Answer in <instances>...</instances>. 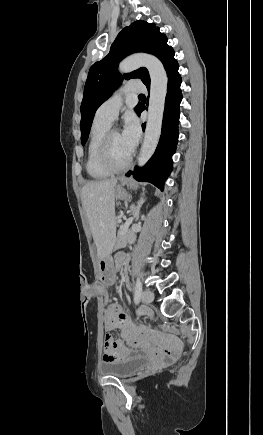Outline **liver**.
<instances>
[{
	"label": "liver",
	"instance_id": "6515ba94",
	"mask_svg": "<svg viewBox=\"0 0 263 435\" xmlns=\"http://www.w3.org/2000/svg\"><path fill=\"white\" fill-rule=\"evenodd\" d=\"M117 178L87 183L81 199L89 221L99 259L111 253L115 242V195Z\"/></svg>",
	"mask_w": 263,
	"mask_h": 435
}]
</instances>
